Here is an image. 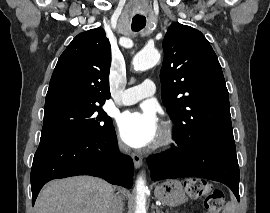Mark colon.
<instances>
[{"label":"colon","instance_id":"5ec220e1","mask_svg":"<svg viewBox=\"0 0 270 213\" xmlns=\"http://www.w3.org/2000/svg\"><path fill=\"white\" fill-rule=\"evenodd\" d=\"M184 190L190 198H204L203 213H221L225 204L224 192L221 189L213 188L206 180L191 178L185 181Z\"/></svg>","mask_w":270,"mask_h":213}]
</instances>
